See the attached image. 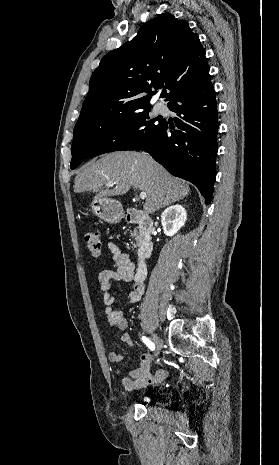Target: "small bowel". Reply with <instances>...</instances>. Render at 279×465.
Listing matches in <instances>:
<instances>
[{"label":"small bowel","instance_id":"c3829d8e","mask_svg":"<svg viewBox=\"0 0 279 465\" xmlns=\"http://www.w3.org/2000/svg\"><path fill=\"white\" fill-rule=\"evenodd\" d=\"M111 252L113 269H106L99 273L98 282L99 289L103 293V301L105 308L103 314L105 315L109 327L113 330L123 331L121 334V341L127 346L132 347L133 341L129 333L125 332L128 321L125 312L121 309L115 308L116 298L112 292V282H129L131 289L128 292V301L133 304L138 302L144 292L143 281H136L134 279V264L130 261L129 255L123 253L120 248L113 242L107 244ZM109 361L113 364H119L122 361V355L118 352L111 351L108 354ZM139 366L129 372L127 376H123L120 369L115 372L121 377V384L126 391L143 388L150 384L162 381L168 374L167 369H159L154 373L150 372V363L152 356L149 353H142L139 355Z\"/></svg>","mask_w":279,"mask_h":465}]
</instances>
